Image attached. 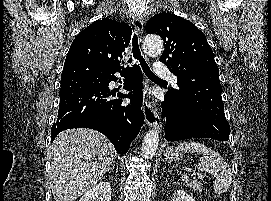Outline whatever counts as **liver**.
<instances>
[{"instance_id":"1","label":"liver","mask_w":271,"mask_h":201,"mask_svg":"<svg viewBox=\"0 0 271 201\" xmlns=\"http://www.w3.org/2000/svg\"><path fill=\"white\" fill-rule=\"evenodd\" d=\"M50 150L48 178L55 201H73L85 194L115 160L111 142L87 128L61 132Z\"/></svg>"}]
</instances>
